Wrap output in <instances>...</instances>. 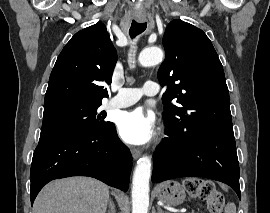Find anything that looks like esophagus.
<instances>
[{"mask_svg":"<svg viewBox=\"0 0 270 213\" xmlns=\"http://www.w3.org/2000/svg\"><path fill=\"white\" fill-rule=\"evenodd\" d=\"M145 20H146L145 17H137V21L140 22V23H143ZM131 153H132V156H133V158L135 160L138 159L140 157V155H141V151L136 149V148H133L131 150Z\"/></svg>","mask_w":270,"mask_h":213,"instance_id":"obj_1","label":"esophagus"}]
</instances>
